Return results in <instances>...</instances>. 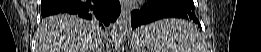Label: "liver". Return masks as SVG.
Wrapping results in <instances>:
<instances>
[{"mask_svg": "<svg viewBox=\"0 0 261 52\" xmlns=\"http://www.w3.org/2000/svg\"><path fill=\"white\" fill-rule=\"evenodd\" d=\"M101 46L96 24L75 15L47 17L36 34V52H100Z\"/></svg>", "mask_w": 261, "mask_h": 52, "instance_id": "6515ba94", "label": "liver"}]
</instances>
